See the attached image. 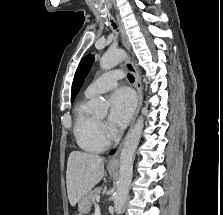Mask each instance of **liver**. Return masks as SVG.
<instances>
[{"label":"liver","mask_w":223,"mask_h":215,"mask_svg":"<svg viewBox=\"0 0 223 215\" xmlns=\"http://www.w3.org/2000/svg\"><path fill=\"white\" fill-rule=\"evenodd\" d=\"M104 175L103 157L96 153L71 151L67 161L66 183L70 205L91 191Z\"/></svg>","instance_id":"6515ba94"}]
</instances>
